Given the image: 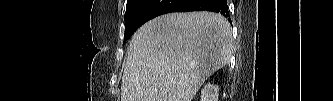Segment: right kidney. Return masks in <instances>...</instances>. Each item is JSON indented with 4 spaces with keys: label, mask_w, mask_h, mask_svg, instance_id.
I'll use <instances>...</instances> for the list:
<instances>
[{
    "label": "right kidney",
    "mask_w": 333,
    "mask_h": 101,
    "mask_svg": "<svg viewBox=\"0 0 333 101\" xmlns=\"http://www.w3.org/2000/svg\"><path fill=\"white\" fill-rule=\"evenodd\" d=\"M219 87L207 84L201 91V101H218Z\"/></svg>",
    "instance_id": "1"
}]
</instances>
